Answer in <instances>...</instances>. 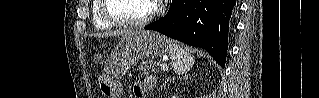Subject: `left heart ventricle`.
Segmentation results:
<instances>
[{
	"label": "left heart ventricle",
	"instance_id": "1",
	"mask_svg": "<svg viewBox=\"0 0 319 98\" xmlns=\"http://www.w3.org/2000/svg\"><path fill=\"white\" fill-rule=\"evenodd\" d=\"M152 3L150 0H110L107 10L116 18L139 20L151 11Z\"/></svg>",
	"mask_w": 319,
	"mask_h": 98
}]
</instances>
